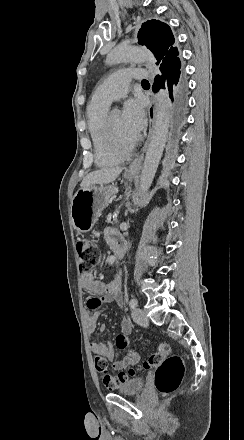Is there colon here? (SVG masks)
Here are the masks:
<instances>
[{
    "label": "colon",
    "mask_w": 244,
    "mask_h": 440,
    "mask_svg": "<svg viewBox=\"0 0 244 440\" xmlns=\"http://www.w3.org/2000/svg\"><path fill=\"white\" fill-rule=\"evenodd\" d=\"M77 261L79 269L88 272L100 259L99 250L92 246L89 241L80 239L76 242ZM129 340L119 333L115 339V347L121 351L127 350ZM95 369L98 373H103L102 380L107 385L115 387L127 382L142 370L156 367L154 374L155 388L162 395L173 393L180 385L185 373L182 359L179 355L171 352L170 346L166 342H161L157 350L149 356L140 366L129 370H122L118 373L108 372V360L102 354H95L93 358Z\"/></svg>",
    "instance_id": "colon-1"
}]
</instances>
